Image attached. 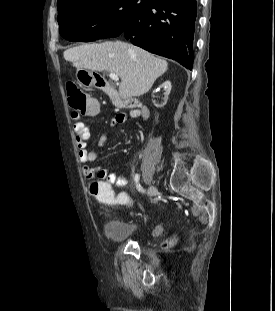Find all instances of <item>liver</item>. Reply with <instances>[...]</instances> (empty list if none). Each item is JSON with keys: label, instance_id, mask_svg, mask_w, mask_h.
Segmentation results:
<instances>
[{"label": "liver", "instance_id": "obj_1", "mask_svg": "<svg viewBox=\"0 0 275 311\" xmlns=\"http://www.w3.org/2000/svg\"><path fill=\"white\" fill-rule=\"evenodd\" d=\"M63 55L77 69L117 74L122 99L144 95L168 69L166 60L121 41L81 45L67 49Z\"/></svg>", "mask_w": 275, "mask_h": 311}]
</instances>
